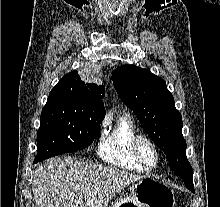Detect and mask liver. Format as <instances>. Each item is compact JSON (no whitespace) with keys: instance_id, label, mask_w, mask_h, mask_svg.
I'll list each match as a JSON object with an SVG mask.
<instances>
[{"instance_id":"6515ba94","label":"liver","mask_w":220,"mask_h":207,"mask_svg":"<svg viewBox=\"0 0 220 207\" xmlns=\"http://www.w3.org/2000/svg\"><path fill=\"white\" fill-rule=\"evenodd\" d=\"M143 176L118 168L54 157L37 167L36 207H108L111 199Z\"/></svg>"}]
</instances>
